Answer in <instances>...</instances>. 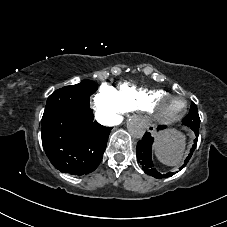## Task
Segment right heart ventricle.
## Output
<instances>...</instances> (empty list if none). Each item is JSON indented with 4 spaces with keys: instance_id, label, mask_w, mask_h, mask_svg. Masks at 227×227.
I'll return each instance as SVG.
<instances>
[{
    "instance_id": "right-heart-ventricle-1",
    "label": "right heart ventricle",
    "mask_w": 227,
    "mask_h": 227,
    "mask_svg": "<svg viewBox=\"0 0 227 227\" xmlns=\"http://www.w3.org/2000/svg\"><path fill=\"white\" fill-rule=\"evenodd\" d=\"M114 89L125 113L144 112L149 101L168 94L163 89L139 87L129 82L120 83Z\"/></svg>"
}]
</instances>
